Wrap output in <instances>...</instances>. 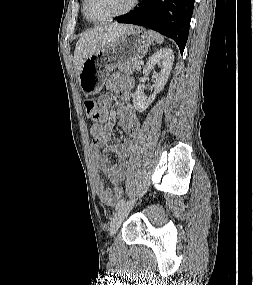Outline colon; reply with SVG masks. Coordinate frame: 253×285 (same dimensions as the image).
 <instances>
[{"label":"colon","instance_id":"1","mask_svg":"<svg viewBox=\"0 0 253 285\" xmlns=\"http://www.w3.org/2000/svg\"><path fill=\"white\" fill-rule=\"evenodd\" d=\"M84 107H85L87 116L89 118H93L95 116L96 103L91 99H87L84 102ZM115 190L118 194H121L123 192L121 187H118Z\"/></svg>","mask_w":253,"mask_h":285}]
</instances>
